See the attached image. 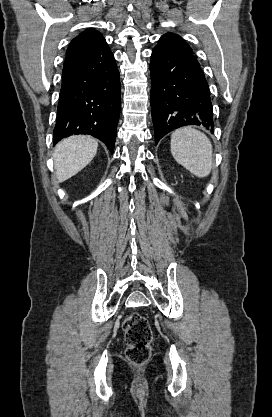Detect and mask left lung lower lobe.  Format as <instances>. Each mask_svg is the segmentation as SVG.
Returning <instances> with one entry per match:
<instances>
[{
	"label": "left lung lower lobe",
	"instance_id": "0a47b994",
	"mask_svg": "<svg viewBox=\"0 0 272 417\" xmlns=\"http://www.w3.org/2000/svg\"><path fill=\"white\" fill-rule=\"evenodd\" d=\"M150 73L155 144L168 132L185 125L213 132L209 86L192 53L155 47Z\"/></svg>",
	"mask_w": 272,
	"mask_h": 417
}]
</instances>
